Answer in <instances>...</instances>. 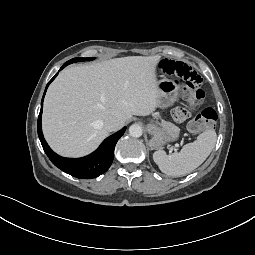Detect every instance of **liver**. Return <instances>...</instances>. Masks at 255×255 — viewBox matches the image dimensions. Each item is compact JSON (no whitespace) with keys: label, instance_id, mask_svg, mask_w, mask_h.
<instances>
[{"label":"liver","instance_id":"1","mask_svg":"<svg viewBox=\"0 0 255 255\" xmlns=\"http://www.w3.org/2000/svg\"><path fill=\"white\" fill-rule=\"evenodd\" d=\"M160 59L129 56L64 69L44 100L43 133L51 148L66 157L85 156L107 137V119L115 117L123 126L133 115L153 113Z\"/></svg>","mask_w":255,"mask_h":255}]
</instances>
